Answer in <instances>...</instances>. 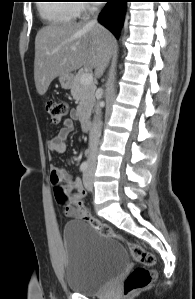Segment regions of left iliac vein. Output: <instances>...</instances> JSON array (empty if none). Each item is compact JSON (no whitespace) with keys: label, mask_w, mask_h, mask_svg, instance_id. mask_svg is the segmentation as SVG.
Instances as JSON below:
<instances>
[{"label":"left iliac vein","mask_w":195,"mask_h":299,"mask_svg":"<svg viewBox=\"0 0 195 299\" xmlns=\"http://www.w3.org/2000/svg\"><path fill=\"white\" fill-rule=\"evenodd\" d=\"M94 166H91L85 173L83 176V181H84V186L88 191H92L93 190V172Z\"/></svg>","instance_id":"left-iliac-vein-1"}]
</instances>
